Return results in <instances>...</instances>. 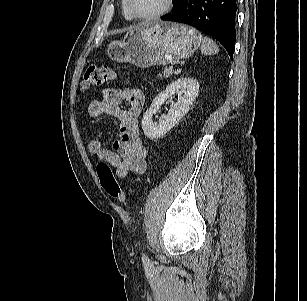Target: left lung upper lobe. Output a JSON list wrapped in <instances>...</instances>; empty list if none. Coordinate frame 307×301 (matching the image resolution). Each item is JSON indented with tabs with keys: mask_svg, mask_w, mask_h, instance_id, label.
<instances>
[{
	"mask_svg": "<svg viewBox=\"0 0 307 301\" xmlns=\"http://www.w3.org/2000/svg\"><path fill=\"white\" fill-rule=\"evenodd\" d=\"M180 0H173V3H174V7L178 4Z\"/></svg>",
	"mask_w": 307,
	"mask_h": 301,
	"instance_id": "5c2ea615",
	"label": "left lung upper lobe"
}]
</instances>
